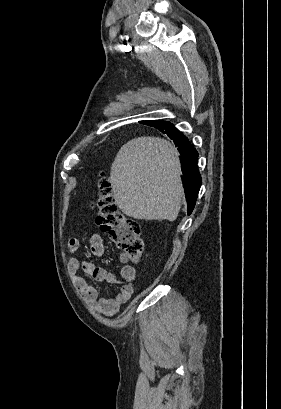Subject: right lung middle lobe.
Listing matches in <instances>:
<instances>
[{"mask_svg": "<svg viewBox=\"0 0 281 409\" xmlns=\"http://www.w3.org/2000/svg\"><path fill=\"white\" fill-rule=\"evenodd\" d=\"M145 124L153 126L159 130H164L167 126L171 125L169 122L164 121H146Z\"/></svg>", "mask_w": 281, "mask_h": 409, "instance_id": "dd1d6c3e", "label": "right lung middle lobe"}]
</instances>
